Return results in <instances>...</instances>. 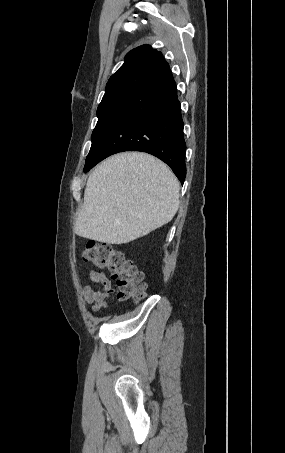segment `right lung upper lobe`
Here are the masks:
<instances>
[{
    "label": "right lung upper lobe",
    "instance_id": "obj_1",
    "mask_svg": "<svg viewBox=\"0 0 285 453\" xmlns=\"http://www.w3.org/2000/svg\"><path fill=\"white\" fill-rule=\"evenodd\" d=\"M169 69L162 53L150 45L139 46L125 56L124 64L113 74L101 103L119 96L134 94L152 78Z\"/></svg>",
    "mask_w": 285,
    "mask_h": 453
}]
</instances>
